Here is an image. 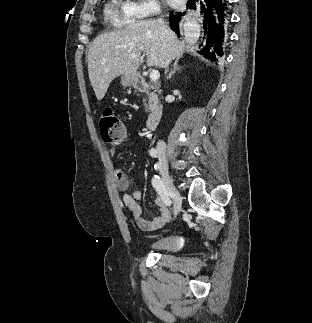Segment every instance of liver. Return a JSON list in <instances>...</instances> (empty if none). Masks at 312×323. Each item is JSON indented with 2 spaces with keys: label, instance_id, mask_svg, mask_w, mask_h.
Masks as SVG:
<instances>
[{
  "label": "liver",
  "instance_id": "obj_1",
  "mask_svg": "<svg viewBox=\"0 0 312 323\" xmlns=\"http://www.w3.org/2000/svg\"><path fill=\"white\" fill-rule=\"evenodd\" d=\"M185 48L172 30L168 28L166 34L156 20H139L122 30L100 34L88 52L89 80L97 100H103L114 78L138 70L142 52H146L147 66L164 68L182 58Z\"/></svg>",
  "mask_w": 312,
  "mask_h": 323
}]
</instances>
